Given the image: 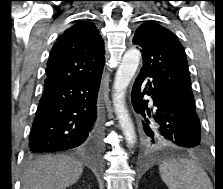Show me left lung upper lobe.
<instances>
[{
    "instance_id": "1",
    "label": "left lung upper lobe",
    "mask_w": 223,
    "mask_h": 189,
    "mask_svg": "<svg viewBox=\"0 0 223 189\" xmlns=\"http://www.w3.org/2000/svg\"><path fill=\"white\" fill-rule=\"evenodd\" d=\"M133 43L142 48V68L159 79L177 102L195 110L186 54L177 36L155 22H145L136 30ZM142 140L149 149L169 145L159 136L151 140L143 133Z\"/></svg>"
}]
</instances>
